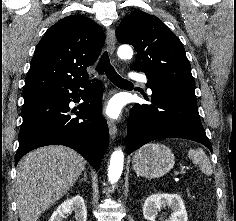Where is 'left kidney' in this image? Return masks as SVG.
Here are the masks:
<instances>
[{
  "instance_id": "left-kidney-1",
  "label": "left kidney",
  "mask_w": 236,
  "mask_h": 221,
  "mask_svg": "<svg viewBox=\"0 0 236 221\" xmlns=\"http://www.w3.org/2000/svg\"><path fill=\"white\" fill-rule=\"evenodd\" d=\"M169 207L172 214L167 221H188L185 204L178 194H152L144 202L143 215L148 221H155L158 211Z\"/></svg>"
}]
</instances>
